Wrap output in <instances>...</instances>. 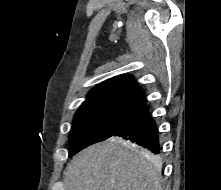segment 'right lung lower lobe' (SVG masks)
<instances>
[{
  "label": "right lung lower lobe",
  "mask_w": 221,
  "mask_h": 190,
  "mask_svg": "<svg viewBox=\"0 0 221 190\" xmlns=\"http://www.w3.org/2000/svg\"><path fill=\"white\" fill-rule=\"evenodd\" d=\"M143 147L153 154H160L156 122L151 117L149 106L144 105L113 135Z\"/></svg>",
  "instance_id": "obj_1"
}]
</instances>
